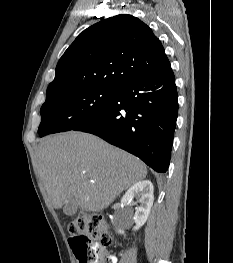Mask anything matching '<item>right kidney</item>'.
Listing matches in <instances>:
<instances>
[{"mask_svg":"<svg viewBox=\"0 0 233 263\" xmlns=\"http://www.w3.org/2000/svg\"><path fill=\"white\" fill-rule=\"evenodd\" d=\"M153 191L154 188L151 181L141 180L131 186L121 199V202L124 204H137V202L140 203V206L135 208V215L133 219L136 225L134 230H138L147 221L154 201ZM134 197L137 199L136 203L133 202ZM118 233L124 234V230H119Z\"/></svg>","mask_w":233,"mask_h":263,"instance_id":"1","label":"right kidney"}]
</instances>
